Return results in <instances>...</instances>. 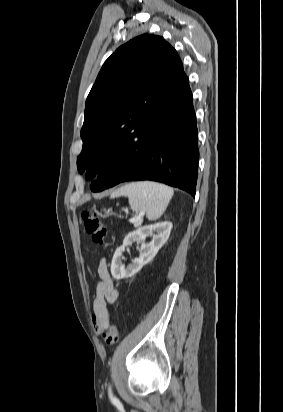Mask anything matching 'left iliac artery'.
<instances>
[{
    "label": "left iliac artery",
    "instance_id": "1",
    "mask_svg": "<svg viewBox=\"0 0 283 412\" xmlns=\"http://www.w3.org/2000/svg\"><path fill=\"white\" fill-rule=\"evenodd\" d=\"M108 393H109V397H110V399H111L112 401L116 402V401H117V399H116L115 397H113V395H112V391H111V387H110V386H109V388H108Z\"/></svg>",
    "mask_w": 283,
    "mask_h": 412
}]
</instances>
